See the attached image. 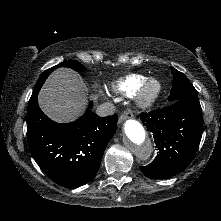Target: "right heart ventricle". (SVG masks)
<instances>
[{"label": "right heart ventricle", "instance_id": "right-heart-ventricle-1", "mask_svg": "<svg viewBox=\"0 0 221 221\" xmlns=\"http://www.w3.org/2000/svg\"><path fill=\"white\" fill-rule=\"evenodd\" d=\"M147 79L145 75L130 74L115 81L112 89L125 95H133Z\"/></svg>", "mask_w": 221, "mask_h": 221}]
</instances>
